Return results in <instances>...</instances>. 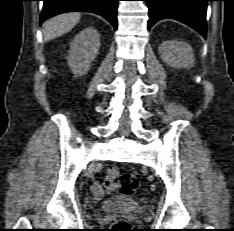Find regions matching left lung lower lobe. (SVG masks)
Wrapping results in <instances>:
<instances>
[{
  "label": "left lung lower lobe",
  "instance_id": "1",
  "mask_svg": "<svg viewBox=\"0 0 234 231\" xmlns=\"http://www.w3.org/2000/svg\"><path fill=\"white\" fill-rule=\"evenodd\" d=\"M148 4L150 29L158 20L171 18L198 31L206 38L207 1L210 0H144Z\"/></svg>",
  "mask_w": 234,
  "mask_h": 231
}]
</instances>
